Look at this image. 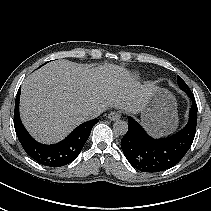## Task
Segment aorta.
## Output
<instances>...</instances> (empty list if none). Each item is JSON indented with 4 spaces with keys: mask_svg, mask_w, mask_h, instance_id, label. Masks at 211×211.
Masks as SVG:
<instances>
[{
    "mask_svg": "<svg viewBox=\"0 0 211 211\" xmlns=\"http://www.w3.org/2000/svg\"><path fill=\"white\" fill-rule=\"evenodd\" d=\"M113 130L118 135H125L128 131V123L124 120H118L114 123Z\"/></svg>",
    "mask_w": 211,
    "mask_h": 211,
    "instance_id": "aorta-1",
    "label": "aorta"
}]
</instances>
